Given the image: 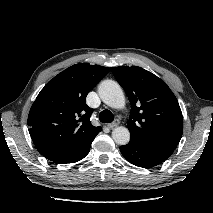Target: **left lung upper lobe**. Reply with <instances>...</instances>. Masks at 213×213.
Instances as JSON below:
<instances>
[{"label":"left lung upper lobe","instance_id":"1","mask_svg":"<svg viewBox=\"0 0 213 213\" xmlns=\"http://www.w3.org/2000/svg\"><path fill=\"white\" fill-rule=\"evenodd\" d=\"M111 71L131 103L127 122L130 140L171 155L183 133L182 112L173 92L160 78L141 67H112Z\"/></svg>","mask_w":213,"mask_h":213}]
</instances>
